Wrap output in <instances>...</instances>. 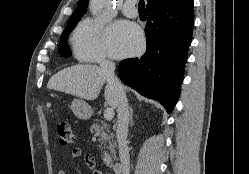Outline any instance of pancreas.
Returning <instances> with one entry per match:
<instances>
[{"mask_svg": "<svg viewBox=\"0 0 249 174\" xmlns=\"http://www.w3.org/2000/svg\"><path fill=\"white\" fill-rule=\"evenodd\" d=\"M91 131H94L95 135L99 137L102 160L106 166L112 167L113 160L116 158L114 134L111 132L108 125L99 122L98 119L92 124Z\"/></svg>", "mask_w": 249, "mask_h": 174, "instance_id": "1", "label": "pancreas"}]
</instances>
